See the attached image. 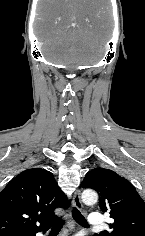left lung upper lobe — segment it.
Instances as JSON below:
<instances>
[{"mask_svg":"<svg viewBox=\"0 0 145 236\" xmlns=\"http://www.w3.org/2000/svg\"><path fill=\"white\" fill-rule=\"evenodd\" d=\"M81 186L96 190L100 208L114 219L113 230L98 236H145V203L129 181L112 170L95 168Z\"/></svg>","mask_w":145,"mask_h":236,"instance_id":"left-lung-upper-lobe-1","label":"left lung upper lobe"}]
</instances>
